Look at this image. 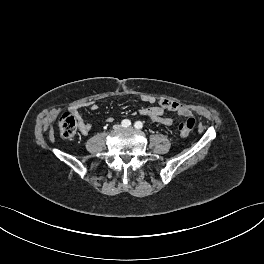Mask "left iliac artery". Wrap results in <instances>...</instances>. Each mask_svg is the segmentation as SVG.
<instances>
[{
	"instance_id": "1",
	"label": "left iliac artery",
	"mask_w": 264,
	"mask_h": 264,
	"mask_svg": "<svg viewBox=\"0 0 264 264\" xmlns=\"http://www.w3.org/2000/svg\"><path fill=\"white\" fill-rule=\"evenodd\" d=\"M134 127L136 129H141L143 127V123L141 121H137L135 122Z\"/></svg>"
}]
</instances>
